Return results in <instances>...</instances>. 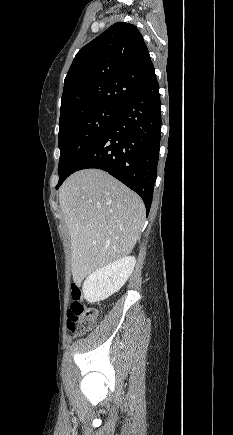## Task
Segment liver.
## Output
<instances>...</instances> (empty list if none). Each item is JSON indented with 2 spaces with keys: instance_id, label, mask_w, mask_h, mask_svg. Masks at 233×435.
Segmentation results:
<instances>
[{
  "instance_id": "1",
  "label": "liver",
  "mask_w": 233,
  "mask_h": 435,
  "mask_svg": "<svg viewBox=\"0 0 233 435\" xmlns=\"http://www.w3.org/2000/svg\"><path fill=\"white\" fill-rule=\"evenodd\" d=\"M69 230L73 280L126 257L143 226L141 198L107 172L85 169L68 177L59 190Z\"/></svg>"
}]
</instances>
